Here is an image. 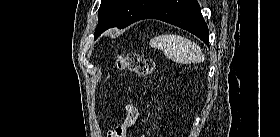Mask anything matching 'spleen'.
Segmentation results:
<instances>
[{
  "instance_id": "spleen-1",
  "label": "spleen",
  "mask_w": 280,
  "mask_h": 137,
  "mask_svg": "<svg viewBox=\"0 0 280 137\" xmlns=\"http://www.w3.org/2000/svg\"><path fill=\"white\" fill-rule=\"evenodd\" d=\"M150 45L163 51L168 59L176 63H201L205 59V55L199 45L180 35H160L151 39Z\"/></svg>"
}]
</instances>
